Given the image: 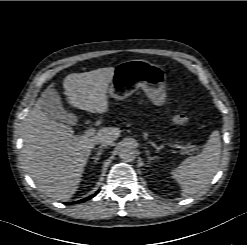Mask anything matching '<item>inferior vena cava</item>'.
Masks as SVG:
<instances>
[{"label": "inferior vena cava", "instance_id": "1", "mask_svg": "<svg viewBox=\"0 0 247 245\" xmlns=\"http://www.w3.org/2000/svg\"><path fill=\"white\" fill-rule=\"evenodd\" d=\"M100 143H101V146H103V147H106L108 145H112L113 144V142L110 139H103V140L100 141Z\"/></svg>", "mask_w": 247, "mask_h": 245}]
</instances>
